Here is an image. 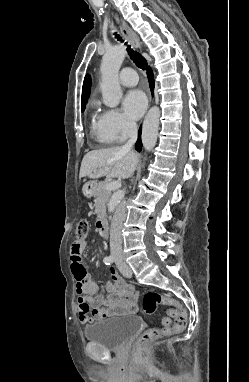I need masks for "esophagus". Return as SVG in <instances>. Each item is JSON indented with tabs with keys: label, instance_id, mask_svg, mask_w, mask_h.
I'll use <instances>...</instances> for the list:
<instances>
[{
	"label": "esophagus",
	"instance_id": "1",
	"mask_svg": "<svg viewBox=\"0 0 249 382\" xmlns=\"http://www.w3.org/2000/svg\"><path fill=\"white\" fill-rule=\"evenodd\" d=\"M120 30L123 36L131 43L134 49H138L140 47V41L138 36L130 29V27L122 21L120 25Z\"/></svg>",
	"mask_w": 249,
	"mask_h": 382
}]
</instances>
